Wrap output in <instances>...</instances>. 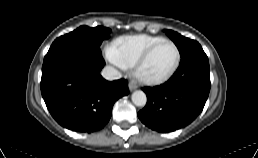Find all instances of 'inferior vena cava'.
Masks as SVG:
<instances>
[{
  "label": "inferior vena cava",
  "mask_w": 258,
  "mask_h": 158,
  "mask_svg": "<svg viewBox=\"0 0 258 158\" xmlns=\"http://www.w3.org/2000/svg\"><path fill=\"white\" fill-rule=\"evenodd\" d=\"M104 79L113 81L122 77L121 73L112 66H106L101 72Z\"/></svg>",
  "instance_id": "inferior-vena-cava-1"
}]
</instances>
